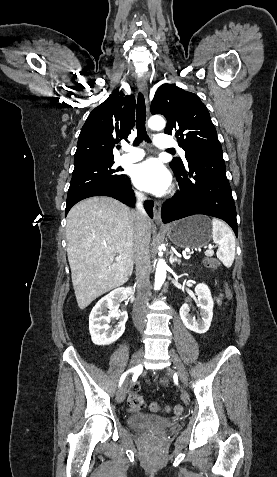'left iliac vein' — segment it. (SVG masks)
Segmentation results:
<instances>
[{
    "label": "left iliac vein",
    "mask_w": 277,
    "mask_h": 477,
    "mask_svg": "<svg viewBox=\"0 0 277 477\" xmlns=\"http://www.w3.org/2000/svg\"><path fill=\"white\" fill-rule=\"evenodd\" d=\"M170 357H171V361L173 362V364L175 365V367L178 371V375H179L180 380L182 381V383L184 385H187L188 377H187L185 367H184L183 363L181 362V359L179 358V356L174 351H170Z\"/></svg>",
    "instance_id": "obj_1"
}]
</instances>
